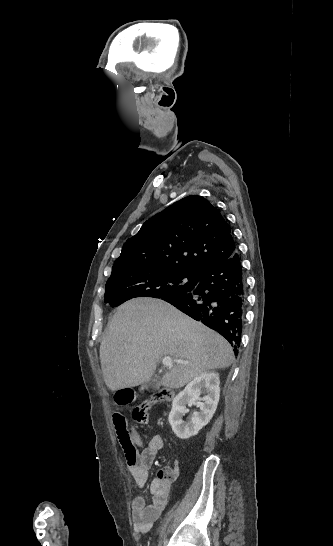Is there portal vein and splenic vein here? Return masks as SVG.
Here are the masks:
<instances>
[{"label": "portal vein and splenic vein", "instance_id": "obj_1", "mask_svg": "<svg viewBox=\"0 0 333 546\" xmlns=\"http://www.w3.org/2000/svg\"><path fill=\"white\" fill-rule=\"evenodd\" d=\"M180 363V364H186L187 362L184 361V360H181V359H173L172 357L170 356H165L163 357L162 359V363L164 366L166 367H171L173 365V363Z\"/></svg>", "mask_w": 333, "mask_h": 546}]
</instances>
